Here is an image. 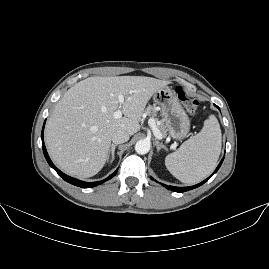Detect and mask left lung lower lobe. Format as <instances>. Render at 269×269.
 Returning <instances> with one entry per match:
<instances>
[{
  "instance_id": "obj_1",
  "label": "left lung lower lobe",
  "mask_w": 269,
  "mask_h": 269,
  "mask_svg": "<svg viewBox=\"0 0 269 269\" xmlns=\"http://www.w3.org/2000/svg\"><path fill=\"white\" fill-rule=\"evenodd\" d=\"M224 158H222L221 162L219 163V165L217 166L216 170L213 172L216 173L217 170L220 168L222 162H223ZM212 174V175H213ZM212 175H210L206 180H204L203 182L197 184V185H194V186H190V187H174V186H168V189L169 190H172V191H175V192H185V191H188V190H191V189H194V188H197L199 187L200 185L204 184ZM153 179V178H152Z\"/></svg>"
}]
</instances>
